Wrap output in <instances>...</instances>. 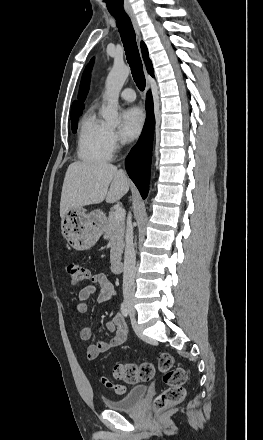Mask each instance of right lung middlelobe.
<instances>
[{"instance_id":"obj_1","label":"right lung middle lobe","mask_w":263,"mask_h":440,"mask_svg":"<svg viewBox=\"0 0 263 440\" xmlns=\"http://www.w3.org/2000/svg\"><path fill=\"white\" fill-rule=\"evenodd\" d=\"M79 116L80 115H77V116L71 118V125H72V131L73 132H76V130H77V121H78V117Z\"/></svg>"}]
</instances>
